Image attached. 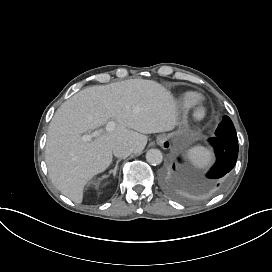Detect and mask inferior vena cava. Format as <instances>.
<instances>
[{"label":"inferior vena cava","mask_w":272,"mask_h":272,"mask_svg":"<svg viewBox=\"0 0 272 272\" xmlns=\"http://www.w3.org/2000/svg\"><path fill=\"white\" fill-rule=\"evenodd\" d=\"M133 152L132 146L128 145L127 143H122L119 145H116L113 148V154L114 156L118 158H126Z\"/></svg>","instance_id":"1"}]
</instances>
